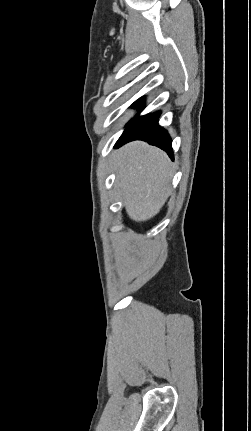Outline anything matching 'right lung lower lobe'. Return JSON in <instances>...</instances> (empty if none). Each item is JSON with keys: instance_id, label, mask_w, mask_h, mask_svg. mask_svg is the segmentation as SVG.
I'll use <instances>...</instances> for the list:
<instances>
[{"instance_id": "right-lung-lower-lobe-1", "label": "right lung lower lobe", "mask_w": 251, "mask_h": 431, "mask_svg": "<svg viewBox=\"0 0 251 431\" xmlns=\"http://www.w3.org/2000/svg\"><path fill=\"white\" fill-rule=\"evenodd\" d=\"M143 99L134 103V106L141 107ZM159 113L154 115H145L133 118L127 125L126 129L116 143L120 146L132 140H143L150 145L157 146L163 149L173 159V151L171 147V138L166 130L158 125L157 118Z\"/></svg>"}]
</instances>
